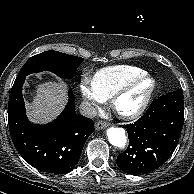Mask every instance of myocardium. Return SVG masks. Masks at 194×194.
Wrapping results in <instances>:
<instances>
[{
    "instance_id": "1",
    "label": "myocardium",
    "mask_w": 194,
    "mask_h": 194,
    "mask_svg": "<svg viewBox=\"0 0 194 194\" xmlns=\"http://www.w3.org/2000/svg\"><path fill=\"white\" fill-rule=\"evenodd\" d=\"M145 80H149L151 82V86L148 92L146 93L145 97L143 98L141 104L132 112H129V113L121 112L117 106V103L120 100V98L123 97L125 94H127L129 91H131L136 85H138L139 83ZM156 88H157V82L155 78L152 75L145 72L122 84L110 97V106L119 118L124 120H135L141 117L146 111V109L148 108L153 98V95L156 91Z\"/></svg>"
}]
</instances>
